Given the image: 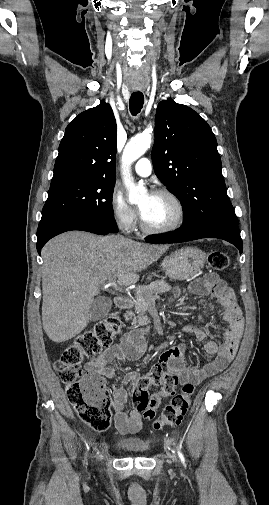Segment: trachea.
<instances>
[{"label":"trachea","mask_w":269,"mask_h":505,"mask_svg":"<svg viewBox=\"0 0 269 505\" xmlns=\"http://www.w3.org/2000/svg\"><path fill=\"white\" fill-rule=\"evenodd\" d=\"M144 103V96L143 93L141 92H133L130 97L129 101V107H130V112L132 115H137Z\"/></svg>","instance_id":"obj_1"}]
</instances>
